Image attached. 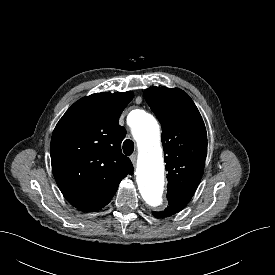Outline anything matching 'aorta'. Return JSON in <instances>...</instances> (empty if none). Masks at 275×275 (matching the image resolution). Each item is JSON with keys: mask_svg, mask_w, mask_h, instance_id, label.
I'll return each instance as SVG.
<instances>
[{"mask_svg": "<svg viewBox=\"0 0 275 275\" xmlns=\"http://www.w3.org/2000/svg\"><path fill=\"white\" fill-rule=\"evenodd\" d=\"M133 133L140 155L137 177L140 193L152 210H162L166 203L163 198L164 162L159 145V125L150 114L137 111Z\"/></svg>", "mask_w": 275, "mask_h": 275, "instance_id": "aorta-1", "label": "aorta"}]
</instances>
